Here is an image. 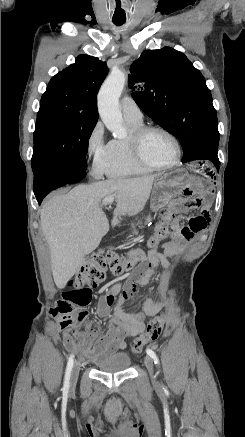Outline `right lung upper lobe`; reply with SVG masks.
Wrapping results in <instances>:
<instances>
[{
  "label": "right lung upper lobe",
  "instance_id": "1",
  "mask_svg": "<svg viewBox=\"0 0 245 437\" xmlns=\"http://www.w3.org/2000/svg\"><path fill=\"white\" fill-rule=\"evenodd\" d=\"M108 73L105 62L80 55L50 80L40 108L59 107L98 120L97 93Z\"/></svg>",
  "mask_w": 245,
  "mask_h": 437
}]
</instances>
